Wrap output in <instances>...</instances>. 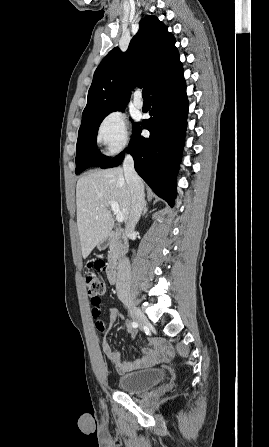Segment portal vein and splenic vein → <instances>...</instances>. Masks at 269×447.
I'll list each match as a JSON object with an SVG mask.
<instances>
[{
	"instance_id": "obj_1",
	"label": "portal vein and splenic vein",
	"mask_w": 269,
	"mask_h": 447,
	"mask_svg": "<svg viewBox=\"0 0 269 447\" xmlns=\"http://www.w3.org/2000/svg\"><path fill=\"white\" fill-rule=\"evenodd\" d=\"M109 204L111 206V210H113L114 214H116L117 222H123L124 216L118 206V202H114V200H110ZM97 210H98V208H97Z\"/></svg>"
}]
</instances>
